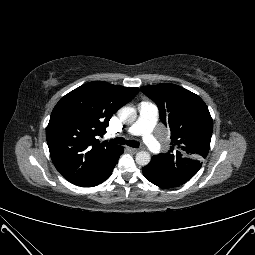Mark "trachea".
<instances>
[{
    "label": "trachea",
    "instance_id": "trachea-1",
    "mask_svg": "<svg viewBox=\"0 0 255 255\" xmlns=\"http://www.w3.org/2000/svg\"><path fill=\"white\" fill-rule=\"evenodd\" d=\"M111 142H113L115 144H121V145L127 144L128 146L133 147V148L139 147V142L134 141V140H125L122 137L112 139Z\"/></svg>",
    "mask_w": 255,
    "mask_h": 255
}]
</instances>
